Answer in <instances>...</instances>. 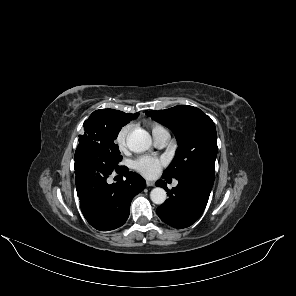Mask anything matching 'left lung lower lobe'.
Here are the masks:
<instances>
[{"label":"left lung lower lobe","mask_w":296,"mask_h":296,"mask_svg":"<svg viewBox=\"0 0 296 296\" xmlns=\"http://www.w3.org/2000/svg\"><path fill=\"white\" fill-rule=\"evenodd\" d=\"M215 173L197 171L178 177V185L169 190L166 182L158 180L169 198L157 208L160 219L175 228H186L201 216L214 183ZM165 178V177H163Z\"/></svg>","instance_id":"1"}]
</instances>
